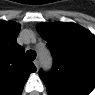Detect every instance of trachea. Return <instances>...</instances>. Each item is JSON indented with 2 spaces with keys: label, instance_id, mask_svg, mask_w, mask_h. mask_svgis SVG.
I'll use <instances>...</instances> for the list:
<instances>
[{
  "label": "trachea",
  "instance_id": "1",
  "mask_svg": "<svg viewBox=\"0 0 95 95\" xmlns=\"http://www.w3.org/2000/svg\"><path fill=\"white\" fill-rule=\"evenodd\" d=\"M26 57H27L29 60L33 61V60L36 58V52H35L34 50H28V51L26 52Z\"/></svg>",
  "mask_w": 95,
  "mask_h": 95
}]
</instances>
